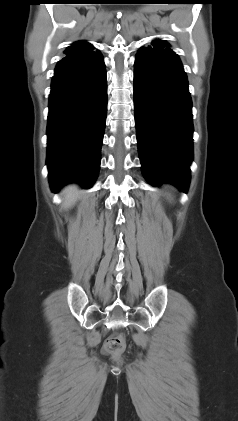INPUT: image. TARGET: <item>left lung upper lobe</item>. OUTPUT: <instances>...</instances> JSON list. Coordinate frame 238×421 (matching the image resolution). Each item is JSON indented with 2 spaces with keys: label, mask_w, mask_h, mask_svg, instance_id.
Instances as JSON below:
<instances>
[{
  "label": "left lung upper lobe",
  "mask_w": 238,
  "mask_h": 421,
  "mask_svg": "<svg viewBox=\"0 0 238 421\" xmlns=\"http://www.w3.org/2000/svg\"><path fill=\"white\" fill-rule=\"evenodd\" d=\"M152 46H166V42L163 40H156L152 42Z\"/></svg>",
  "instance_id": "left-lung-upper-lobe-1"
}]
</instances>
